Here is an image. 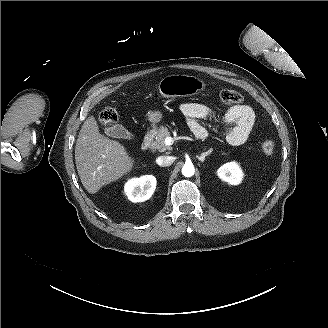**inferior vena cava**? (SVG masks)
Here are the masks:
<instances>
[{
    "label": "inferior vena cava",
    "instance_id": "602c4592",
    "mask_svg": "<svg viewBox=\"0 0 328 328\" xmlns=\"http://www.w3.org/2000/svg\"><path fill=\"white\" fill-rule=\"evenodd\" d=\"M156 162L163 167L169 166L174 162V158L172 156H160L157 158Z\"/></svg>",
    "mask_w": 328,
    "mask_h": 328
}]
</instances>
